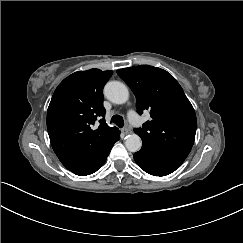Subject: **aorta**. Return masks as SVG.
<instances>
[{"mask_svg":"<svg viewBox=\"0 0 243 243\" xmlns=\"http://www.w3.org/2000/svg\"><path fill=\"white\" fill-rule=\"evenodd\" d=\"M104 94L108 100L117 105H123L128 102L130 94L128 87L119 81L107 83ZM142 146L141 138L133 133L125 136V147L130 152L139 151Z\"/></svg>","mask_w":243,"mask_h":243,"instance_id":"obj_1","label":"aorta"}]
</instances>
